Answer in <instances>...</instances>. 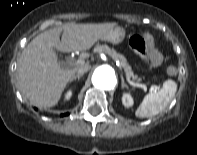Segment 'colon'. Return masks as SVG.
Here are the masks:
<instances>
[{
    "label": "colon",
    "mask_w": 197,
    "mask_h": 155,
    "mask_svg": "<svg viewBox=\"0 0 197 155\" xmlns=\"http://www.w3.org/2000/svg\"><path fill=\"white\" fill-rule=\"evenodd\" d=\"M130 46L138 51L141 54H147L150 57V60L154 64H158L161 61V56L159 52L155 49L154 44L152 41L147 40V37H142L140 35H134L130 39ZM169 74H174L175 69L174 68H169L168 69Z\"/></svg>",
    "instance_id": "5ec220e1"
}]
</instances>
